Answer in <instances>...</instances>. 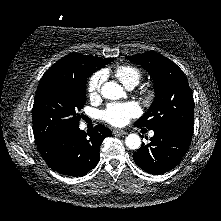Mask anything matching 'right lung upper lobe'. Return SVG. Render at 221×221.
<instances>
[{
  "label": "right lung upper lobe",
  "instance_id": "obj_1",
  "mask_svg": "<svg viewBox=\"0 0 221 221\" xmlns=\"http://www.w3.org/2000/svg\"><path fill=\"white\" fill-rule=\"evenodd\" d=\"M113 58H98L93 56L81 55L77 53L69 54L54 65H52L43 77L61 76L70 78H84L92 75L96 70L101 69L111 62Z\"/></svg>",
  "mask_w": 221,
  "mask_h": 221
}]
</instances>
